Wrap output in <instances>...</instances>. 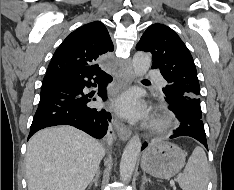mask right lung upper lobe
I'll use <instances>...</instances> for the list:
<instances>
[{
  "instance_id": "cb5924a9",
  "label": "right lung upper lobe",
  "mask_w": 234,
  "mask_h": 190,
  "mask_svg": "<svg viewBox=\"0 0 234 190\" xmlns=\"http://www.w3.org/2000/svg\"><path fill=\"white\" fill-rule=\"evenodd\" d=\"M113 49L109 33L102 22L83 25L69 34L55 51L45 77L69 69L97 65L95 63Z\"/></svg>"
}]
</instances>
